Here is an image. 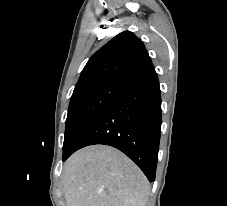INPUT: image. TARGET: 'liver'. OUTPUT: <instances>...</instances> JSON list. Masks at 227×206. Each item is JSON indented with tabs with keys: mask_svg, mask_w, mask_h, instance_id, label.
Returning a JSON list of instances; mask_svg holds the SVG:
<instances>
[{
	"mask_svg": "<svg viewBox=\"0 0 227 206\" xmlns=\"http://www.w3.org/2000/svg\"><path fill=\"white\" fill-rule=\"evenodd\" d=\"M62 185L67 206H146L150 184L123 153L93 145L65 163Z\"/></svg>",
	"mask_w": 227,
	"mask_h": 206,
	"instance_id": "6515ba94",
	"label": "liver"
}]
</instances>
